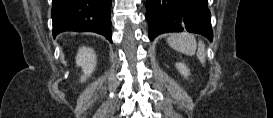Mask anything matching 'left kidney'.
<instances>
[{
	"label": "left kidney",
	"mask_w": 273,
	"mask_h": 118,
	"mask_svg": "<svg viewBox=\"0 0 273 118\" xmlns=\"http://www.w3.org/2000/svg\"><path fill=\"white\" fill-rule=\"evenodd\" d=\"M176 68L178 69L180 74L185 78H187L190 75V71L183 63H176Z\"/></svg>",
	"instance_id": "5707ae66"
}]
</instances>
